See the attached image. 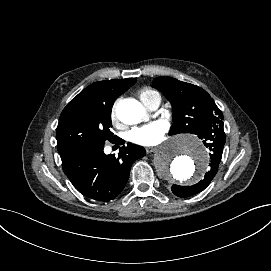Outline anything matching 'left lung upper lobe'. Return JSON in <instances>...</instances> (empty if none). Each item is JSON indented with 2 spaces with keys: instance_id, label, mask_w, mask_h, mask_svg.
<instances>
[{
  "instance_id": "obj_1",
  "label": "left lung upper lobe",
  "mask_w": 271,
  "mask_h": 271,
  "mask_svg": "<svg viewBox=\"0 0 271 271\" xmlns=\"http://www.w3.org/2000/svg\"><path fill=\"white\" fill-rule=\"evenodd\" d=\"M153 85L173 105L174 123L170 129L171 135L192 133L199 137L222 126L223 113L202 88L172 77H157L153 80Z\"/></svg>"
}]
</instances>
